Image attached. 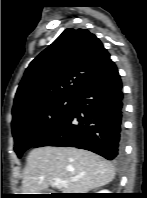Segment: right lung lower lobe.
Instances as JSON below:
<instances>
[{"instance_id": "1", "label": "right lung lower lobe", "mask_w": 147, "mask_h": 198, "mask_svg": "<svg viewBox=\"0 0 147 198\" xmlns=\"http://www.w3.org/2000/svg\"><path fill=\"white\" fill-rule=\"evenodd\" d=\"M122 82L111 61L101 75L75 99L71 111L33 147L70 146L95 152L108 160L122 154Z\"/></svg>"}]
</instances>
